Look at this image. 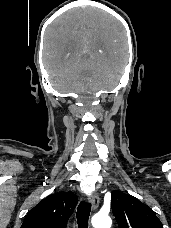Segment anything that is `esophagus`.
<instances>
[{
    "mask_svg": "<svg viewBox=\"0 0 171 228\" xmlns=\"http://www.w3.org/2000/svg\"><path fill=\"white\" fill-rule=\"evenodd\" d=\"M88 200L91 202L92 208L95 210L98 207V205H99V196H98V194H96V193L90 194L88 196Z\"/></svg>",
    "mask_w": 171,
    "mask_h": 228,
    "instance_id": "34e87169",
    "label": "esophagus"
}]
</instances>
